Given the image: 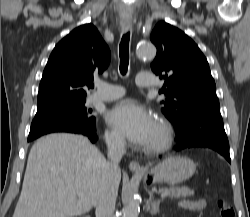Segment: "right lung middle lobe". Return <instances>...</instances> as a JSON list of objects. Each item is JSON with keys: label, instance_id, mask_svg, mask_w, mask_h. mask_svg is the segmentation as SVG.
Listing matches in <instances>:
<instances>
[{"label": "right lung middle lobe", "instance_id": "dd1d6c3e", "mask_svg": "<svg viewBox=\"0 0 250 217\" xmlns=\"http://www.w3.org/2000/svg\"><path fill=\"white\" fill-rule=\"evenodd\" d=\"M92 110L86 108L85 99L61 102L37 109L32 121L28 141L52 132L93 133L96 130Z\"/></svg>", "mask_w": 250, "mask_h": 217}]
</instances>
